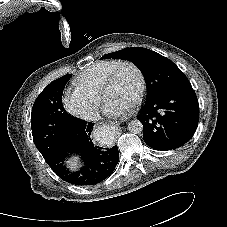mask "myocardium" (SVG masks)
Instances as JSON below:
<instances>
[{"label":"myocardium","instance_id":"1","mask_svg":"<svg viewBox=\"0 0 227 227\" xmlns=\"http://www.w3.org/2000/svg\"><path fill=\"white\" fill-rule=\"evenodd\" d=\"M125 67H131L137 74L138 76V91L136 94V97L132 103V106L135 107L137 106L144 98L145 93H146V77L143 72V70L140 68L138 64H136L133 61L130 60H125L121 61L108 75L107 79L105 80L102 89H101V98L105 100V95L107 91L114 85L116 82L121 70Z\"/></svg>","mask_w":227,"mask_h":227}]
</instances>
